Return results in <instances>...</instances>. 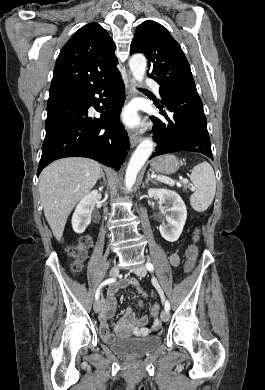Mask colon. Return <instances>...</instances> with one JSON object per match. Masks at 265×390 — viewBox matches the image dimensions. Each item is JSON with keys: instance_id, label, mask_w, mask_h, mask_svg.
<instances>
[{"instance_id": "5ec220e1", "label": "colon", "mask_w": 265, "mask_h": 390, "mask_svg": "<svg viewBox=\"0 0 265 390\" xmlns=\"http://www.w3.org/2000/svg\"><path fill=\"white\" fill-rule=\"evenodd\" d=\"M199 239V234L196 233L195 240ZM91 246V237L88 235L82 236L73 246L68 250L69 256L72 258L73 263L72 267L75 272L81 270L82 263L86 259L87 251ZM198 256V249L195 245L191 246L187 251V262L185 265L186 271H191L194 266ZM159 305L154 304L151 307V315L154 317L155 322L159 325L158 316H159Z\"/></svg>"}]
</instances>
